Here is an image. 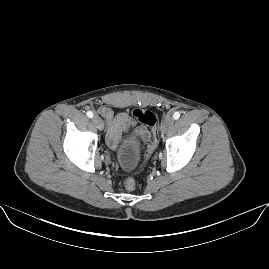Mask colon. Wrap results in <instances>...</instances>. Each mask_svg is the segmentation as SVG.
<instances>
[{"instance_id":"1","label":"colon","mask_w":269,"mask_h":269,"mask_svg":"<svg viewBox=\"0 0 269 269\" xmlns=\"http://www.w3.org/2000/svg\"><path fill=\"white\" fill-rule=\"evenodd\" d=\"M132 117L139 123L144 124L148 132L144 137V142L148 145L146 156L149 157L156 148L157 145V117L150 110L145 108H134L132 111ZM137 182L133 178H126L123 182V186L127 191H133L136 188Z\"/></svg>"}]
</instances>
